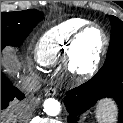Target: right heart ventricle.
<instances>
[{"instance_id": "obj_1", "label": "right heart ventricle", "mask_w": 123, "mask_h": 123, "mask_svg": "<svg viewBox=\"0 0 123 123\" xmlns=\"http://www.w3.org/2000/svg\"><path fill=\"white\" fill-rule=\"evenodd\" d=\"M83 19H71L47 30L35 46V59L42 66H50L62 59L67 61L75 35L84 26Z\"/></svg>"}]
</instances>
